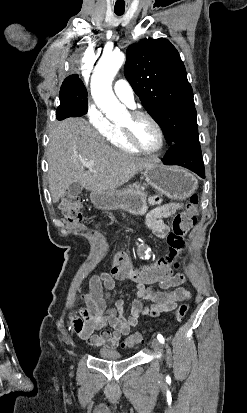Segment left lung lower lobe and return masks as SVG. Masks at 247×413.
Instances as JSON below:
<instances>
[{"label":"left lung lower lobe","mask_w":247,"mask_h":413,"mask_svg":"<svg viewBox=\"0 0 247 413\" xmlns=\"http://www.w3.org/2000/svg\"><path fill=\"white\" fill-rule=\"evenodd\" d=\"M162 162L165 165H179L188 168L200 177L205 178L199 140L185 141L171 145Z\"/></svg>","instance_id":"obj_1"}]
</instances>
